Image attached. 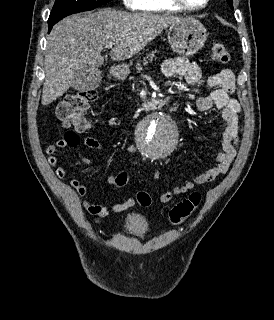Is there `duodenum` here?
<instances>
[{"mask_svg":"<svg viewBox=\"0 0 274 320\" xmlns=\"http://www.w3.org/2000/svg\"><path fill=\"white\" fill-rule=\"evenodd\" d=\"M166 98L158 97L144 102V107L148 109L157 108L167 103Z\"/></svg>","mask_w":274,"mask_h":320,"instance_id":"1","label":"duodenum"}]
</instances>
